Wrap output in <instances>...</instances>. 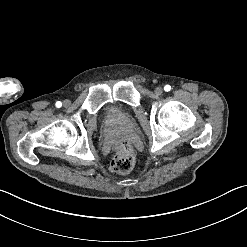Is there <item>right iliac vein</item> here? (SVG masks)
I'll return each instance as SVG.
<instances>
[{"instance_id":"1","label":"right iliac vein","mask_w":247,"mask_h":247,"mask_svg":"<svg viewBox=\"0 0 247 247\" xmlns=\"http://www.w3.org/2000/svg\"><path fill=\"white\" fill-rule=\"evenodd\" d=\"M63 105H64L65 107H69V106H70V101H69V100H64V101H63Z\"/></svg>"}]
</instances>
